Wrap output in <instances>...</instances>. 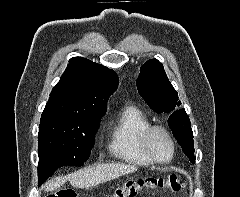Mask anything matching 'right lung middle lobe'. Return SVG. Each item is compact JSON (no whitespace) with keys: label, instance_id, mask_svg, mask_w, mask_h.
<instances>
[{"label":"right lung middle lobe","instance_id":"right-lung-middle-lobe-1","mask_svg":"<svg viewBox=\"0 0 240 197\" xmlns=\"http://www.w3.org/2000/svg\"><path fill=\"white\" fill-rule=\"evenodd\" d=\"M101 119H40L38 182L41 185L64 165L82 166L89 158Z\"/></svg>","mask_w":240,"mask_h":197}]
</instances>
